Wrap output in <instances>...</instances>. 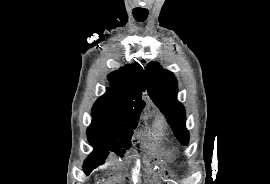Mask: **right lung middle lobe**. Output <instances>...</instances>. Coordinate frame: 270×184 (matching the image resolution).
<instances>
[{"label": "right lung middle lobe", "instance_id": "dd1d6c3e", "mask_svg": "<svg viewBox=\"0 0 270 184\" xmlns=\"http://www.w3.org/2000/svg\"><path fill=\"white\" fill-rule=\"evenodd\" d=\"M138 121L131 123H111L93 120L87 129V137L94 151L86 159L83 170L86 175L105 162L109 151L123 156L124 150L130 147L133 129Z\"/></svg>", "mask_w": 270, "mask_h": 184}]
</instances>
